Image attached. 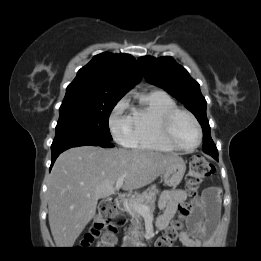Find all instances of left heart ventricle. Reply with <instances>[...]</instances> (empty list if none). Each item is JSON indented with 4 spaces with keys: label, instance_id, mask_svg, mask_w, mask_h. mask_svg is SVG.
I'll return each mask as SVG.
<instances>
[{
    "label": "left heart ventricle",
    "instance_id": "obj_1",
    "mask_svg": "<svg viewBox=\"0 0 261 261\" xmlns=\"http://www.w3.org/2000/svg\"><path fill=\"white\" fill-rule=\"evenodd\" d=\"M176 142L183 147H192L198 141V132L193 121L184 114L179 115L173 124Z\"/></svg>",
    "mask_w": 261,
    "mask_h": 261
}]
</instances>
